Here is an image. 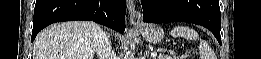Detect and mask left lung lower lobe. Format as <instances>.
Segmentation results:
<instances>
[{
  "label": "left lung lower lobe",
  "instance_id": "left-lung-lower-lobe-1",
  "mask_svg": "<svg viewBox=\"0 0 261 59\" xmlns=\"http://www.w3.org/2000/svg\"><path fill=\"white\" fill-rule=\"evenodd\" d=\"M143 21L148 23L191 22L208 28L221 44L218 0L142 1Z\"/></svg>",
  "mask_w": 261,
  "mask_h": 59
}]
</instances>
